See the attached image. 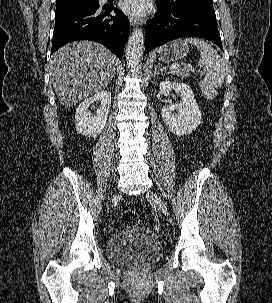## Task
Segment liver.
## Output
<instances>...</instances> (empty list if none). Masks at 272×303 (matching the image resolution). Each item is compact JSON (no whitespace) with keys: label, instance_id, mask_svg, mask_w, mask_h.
<instances>
[{"label":"liver","instance_id":"liver-1","mask_svg":"<svg viewBox=\"0 0 272 303\" xmlns=\"http://www.w3.org/2000/svg\"><path fill=\"white\" fill-rule=\"evenodd\" d=\"M117 57L93 41H75L51 57L52 84L61 105L71 107L103 90L115 74Z\"/></svg>","mask_w":272,"mask_h":303}]
</instances>
